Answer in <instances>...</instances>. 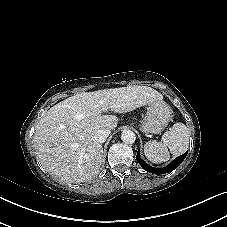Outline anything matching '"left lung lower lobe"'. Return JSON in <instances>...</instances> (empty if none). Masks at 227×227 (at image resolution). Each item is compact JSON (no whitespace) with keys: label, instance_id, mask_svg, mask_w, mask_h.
<instances>
[{"label":"left lung lower lobe","instance_id":"left-lung-lower-lobe-1","mask_svg":"<svg viewBox=\"0 0 227 227\" xmlns=\"http://www.w3.org/2000/svg\"><path fill=\"white\" fill-rule=\"evenodd\" d=\"M187 155V152L184 153L183 155L177 157L175 160H173L168 166L164 167V168H154L149 166L148 164H146L141 158H140V154L139 151L137 152L136 155V160L138 161V163L141 165V167L148 171L151 172L153 174H164V173H168L173 171L174 169H176L185 159Z\"/></svg>","mask_w":227,"mask_h":227}]
</instances>
